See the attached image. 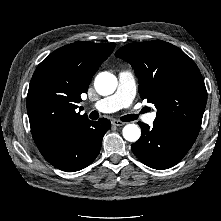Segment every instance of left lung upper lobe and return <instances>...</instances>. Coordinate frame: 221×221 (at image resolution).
Segmentation results:
<instances>
[{
	"instance_id": "obj_1",
	"label": "left lung upper lobe",
	"mask_w": 221,
	"mask_h": 221,
	"mask_svg": "<svg viewBox=\"0 0 221 221\" xmlns=\"http://www.w3.org/2000/svg\"><path fill=\"white\" fill-rule=\"evenodd\" d=\"M115 55L132 65L140 97L158 110L155 120L200 130L207 91L198 67L181 49L158 40L127 44Z\"/></svg>"
}]
</instances>
